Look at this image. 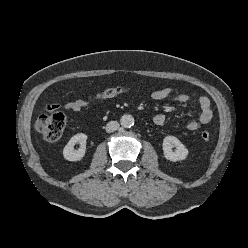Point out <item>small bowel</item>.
<instances>
[{"mask_svg":"<svg viewBox=\"0 0 248 248\" xmlns=\"http://www.w3.org/2000/svg\"><path fill=\"white\" fill-rule=\"evenodd\" d=\"M151 98L154 100L170 99L177 102H188L191 100V95L186 92H178L172 87H164L161 89L153 90ZM200 107V115L198 120L188 122L185 127L188 130L194 131L209 123L213 117L211 109V102L207 96H201L198 99ZM90 105L87 100L79 99L63 104L61 107L66 111H80L81 109ZM58 106H53L51 109H56ZM153 121L156 125L161 126L166 122V116L157 114L154 116Z\"/></svg>","mask_w":248,"mask_h":248,"instance_id":"small-bowel-1","label":"small bowel"}]
</instances>
